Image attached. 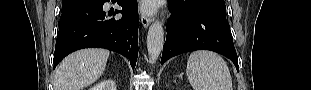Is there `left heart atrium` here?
Segmentation results:
<instances>
[{"label":"left heart atrium","mask_w":311,"mask_h":90,"mask_svg":"<svg viewBox=\"0 0 311 90\" xmlns=\"http://www.w3.org/2000/svg\"><path fill=\"white\" fill-rule=\"evenodd\" d=\"M142 10L147 14H153L156 11V2L153 0L144 1Z\"/></svg>","instance_id":"39dd6f15"}]
</instances>
